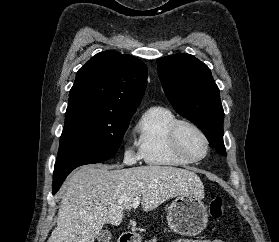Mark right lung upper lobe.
I'll return each mask as SVG.
<instances>
[{"mask_svg": "<svg viewBox=\"0 0 279 242\" xmlns=\"http://www.w3.org/2000/svg\"><path fill=\"white\" fill-rule=\"evenodd\" d=\"M147 82V67L138 58L108 50L79 69L70 90L66 114L92 118L131 117Z\"/></svg>", "mask_w": 279, "mask_h": 242, "instance_id": "right-lung-upper-lobe-1", "label": "right lung upper lobe"}]
</instances>
